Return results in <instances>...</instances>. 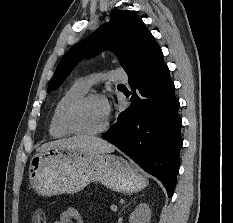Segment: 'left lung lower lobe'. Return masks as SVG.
I'll use <instances>...</instances> for the list:
<instances>
[{
  "instance_id": "0a47b994",
  "label": "left lung lower lobe",
  "mask_w": 233,
  "mask_h": 223,
  "mask_svg": "<svg viewBox=\"0 0 233 223\" xmlns=\"http://www.w3.org/2000/svg\"><path fill=\"white\" fill-rule=\"evenodd\" d=\"M128 77L132 103L102 138L157 177L171 197L179 169L182 121L174 84L156 41Z\"/></svg>"
}]
</instances>
